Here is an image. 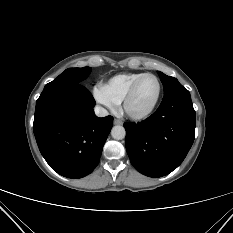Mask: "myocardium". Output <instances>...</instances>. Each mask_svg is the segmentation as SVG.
<instances>
[{
  "instance_id": "f54148a6",
  "label": "myocardium",
  "mask_w": 233,
  "mask_h": 233,
  "mask_svg": "<svg viewBox=\"0 0 233 233\" xmlns=\"http://www.w3.org/2000/svg\"><path fill=\"white\" fill-rule=\"evenodd\" d=\"M147 77H152L156 80L157 85H158V91H157V95L156 98L154 100V102L152 103V105L146 109L145 111L142 112H133L129 109V103L132 100V98L135 95V92L139 86V84L141 83L142 80H144ZM161 91H162V85L161 82L159 80V78L151 73H145L143 74L141 77H139L130 87V89L128 90L127 94L125 95L124 99H123V103H122V108L123 111L125 112V114L133 119V120H144L146 118H148L149 116H151L153 114V112L155 111V109L158 106V103L160 101V97H161Z\"/></svg>"
}]
</instances>
